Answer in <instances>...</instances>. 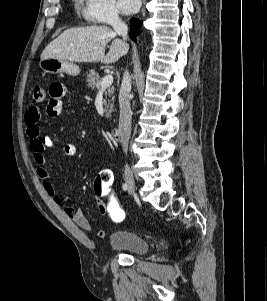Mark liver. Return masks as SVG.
<instances>
[{"instance_id":"1","label":"liver","mask_w":267,"mask_h":301,"mask_svg":"<svg viewBox=\"0 0 267 301\" xmlns=\"http://www.w3.org/2000/svg\"><path fill=\"white\" fill-rule=\"evenodd\" d=\"M117 33L108 26L71 28L60 34L43 50L41 60L48 58L70 62H99L112 64L128 51V46L116 38ZM110 48L105 55L106 45Z\"/></svg>"}]
</instances>
